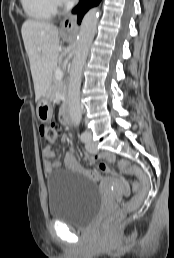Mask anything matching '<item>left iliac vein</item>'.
Listing matches in <instances>:
<instances>
[{"mask_svg":"<svg viewBox=\"0 0 174 258\" xmlns=\"http://www.w3.org/2000/svg\"><path fill=\"white\" fill-rule=\"evenodd\" d=\"M86 133L88 134V140L86 142V148H87L88 151H90L92 153H96L97 148L94 146V144L91 141V133L87 132V131H86Z\"/></svg>","mask_w":174,"mask_h":258,"instance_id":"1","label":"left iliac vein"}]
</instances>
